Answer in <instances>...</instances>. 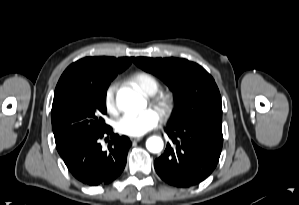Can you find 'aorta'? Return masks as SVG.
<instances>
[{
  "mask_svg": "<svg viewBox=\"0 0 299 205\" xmlns=\"http://www.w3.org/2000/svg\"><path fill=\"white\" fill-rule=\"evenodd\" d=\"M116 103L124 112H136L145 106L144 99L130 88H123L117 92ZM163 146V140L158 136H152L146 141V148L151 153L161 152Z\"/></svg>",
  "mask_w": 299,
  "mask_h": 205,
  "instance_id": "1",
  "label": "aorta"
}]
</instances>
